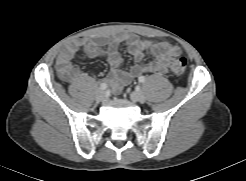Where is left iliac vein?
Wrapping results in <instances>:
<instances>
[{"label": "left iliac vein", "instance_id": "obj_1", "mask_svg": "<svg viewBox=\"0 0 246 181\" xmlns=\"http://www.w3.org/2000/svg\"><path fill=\"white\" fill-rule=\"evenodd\" d=\"M131 100L144 103L146 101V96L142 91H134L131 93Z\"/></svg>", "mask_w": 246, "mask_h": 181}]
</instances>
